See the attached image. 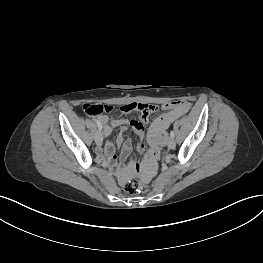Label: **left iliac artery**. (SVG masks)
<instances>
[{
  "label": "left iliac artery",
  "mask_w": 263,
  "mask_h": 263,
  "mask_svg": "<svg viewBox=\"0 0 263 263\" xmlns=\"http://www.w3.org/2000/svg\"><path fill=\"white\" fill-rule=\"evenodd\" d=\"M170 136H171V138H174V137H175L174 131H171V132H170Z\"/></svg>",
  "instance_id": "1"
}]
</instances>
